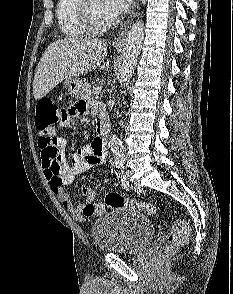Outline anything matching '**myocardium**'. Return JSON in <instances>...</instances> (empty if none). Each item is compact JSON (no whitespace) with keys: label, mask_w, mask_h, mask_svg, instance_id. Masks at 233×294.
I'll return each mask as SVG.
<instances>
[{"label":"myocardium","mask_w":233,"mask_h":294,"mask_svg":"<svg viewBox=\"0 0 233 294\" xmlns=\"http://www.w3.org/2000/svg\"><path fill=\"white\" fill-rule=\"evenodd\" d=\"M82 18L87 29L92 34H99L107 31L113 25V21H100L94 14L90 0H84L82 5Z\"/></svg>","instance_id":"1"}]
</instances>
